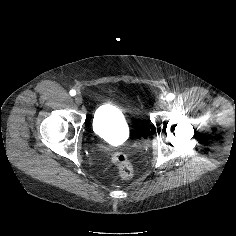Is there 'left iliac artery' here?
I'll use <instances>...</instances> for the list:
<instances>
[{
  "label": "left iliac artery",
  "mask_w": 236,
  "mask_h": 236,
  "mask_svg": "<svg viewBox=\"0 0 236 236\" xmlns=\"http://www.w3.org/2000/svg\"><path fill=\"white\" fill-rule=\"evenodd\" d=\"M174 97H175V95H174V94H172V93H169V94L167 95V100H173V99H174Z\"/></svg>",
  "instance_id": "left-iliac-artery-1"
}]
</instances>
